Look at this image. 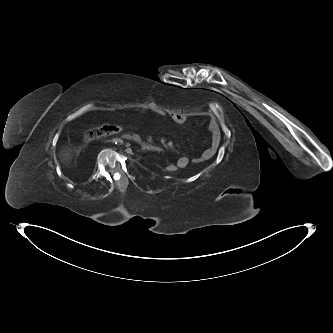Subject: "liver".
I'll use <instances>...</instances> for the list:
<instances>
[{"label": "liver", "mask_w": 333, "mask_h": 333, "mask_svg": "<svg viewBox=\"0 0 333 333\" xmlns=\"http://www.w3.org/2000/svg\"><path fill=\"white\" fill-rule=\"evenodd\" d=\"M72 156L71 148H64L61 152V161L69 162L73 158Z\"/></svg>", "instance_id": "6515ba94"}]
</instances>
